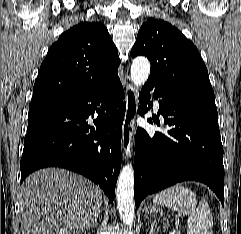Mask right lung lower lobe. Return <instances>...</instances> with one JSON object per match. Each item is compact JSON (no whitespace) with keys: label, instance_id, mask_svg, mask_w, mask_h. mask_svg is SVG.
Here are the masks:
<instances>
[{"label":"right lung lower lobe","instance_id":"98d812e1","mask_svg":"<svg viewBox=\"0 0 241 234\" xmlns=\"http://www.w3.org/2000/svg\"><path fill=\"white\" fill-rule=\"evenodd\" d=\"M124 98L116 76L88 94L29 108L21 182L40 168H66L99 185L112 202L121 168ZM94 115L91 127L87 119Z\"/></svg>","mask_w":241,"mask_h":234}]
</instances>
